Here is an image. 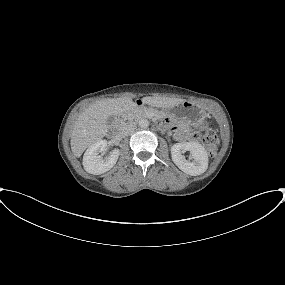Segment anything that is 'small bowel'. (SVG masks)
I'll return each mask as SVG.
<instances>
[{"mask_svg": "<svg viewBox=\"0 0 285 285\" xmlns=\"http://www.w3.org/2000/svg\"><path fill=\"white\" fill-rule=\"evenodd\" d=\"M176 138L179 139V140H183V139L187 138V136L183 135V134H177Z\"/></svg>", "mask_w": 285, "mask_h": 285, "instance_id": "1", "label": "small bowel"}]
</instances>
